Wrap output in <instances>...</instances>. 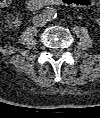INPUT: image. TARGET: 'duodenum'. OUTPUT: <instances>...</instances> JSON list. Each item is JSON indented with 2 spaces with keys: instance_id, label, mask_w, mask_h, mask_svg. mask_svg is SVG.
<instances>
[{
  "instance_id": "1",
  "label": "duodenum",
  "mask_w": 100,
  "mask_h": 118,
  "mask_svg": "<svg viewBox=\"0 0 100 118\" xmlns=\"http://www.w3.org/2000/svg\"><path fill=\"white\" fill-rule=\"evenodd\" d=\"M67 3V0H28L27 7L31 10L55 6V5H63Z\"/></svg>"
}]
</instances>
